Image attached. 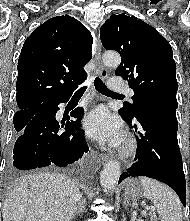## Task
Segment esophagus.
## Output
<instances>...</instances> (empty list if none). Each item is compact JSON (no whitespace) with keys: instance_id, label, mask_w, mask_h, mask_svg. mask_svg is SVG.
Segmentation results:
<instances>
[{"instance_id":"esophagus-1","label":"esophagus","mask_w":190,"mask_h":221,"mask_svg":"<svg viewBox=\"0 0 190 221\" xmlns=\"http://www.w3.org/2000/svg\"><path fill=\"white\" fill-rule=\"evenodd\" d=\"M94 62L97 67V72L98 74L103 78L106 79L108 77V71L104 67L101 61V42L99 37L95 39V54H94ZM109 155L107 154H100L99 155V160L105 162L109 160Z\"/></svg>"}]
</instances>
